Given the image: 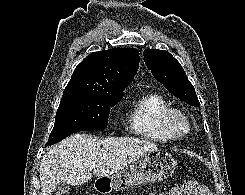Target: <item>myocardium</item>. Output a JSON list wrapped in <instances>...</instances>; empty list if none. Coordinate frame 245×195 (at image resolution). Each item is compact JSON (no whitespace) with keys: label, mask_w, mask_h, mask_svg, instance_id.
I'll return each instance as SVG.
<instances>
[{"label":"myocardium","mask_w":245,"mask_h":195,"mask_svg":"<svg viewBox=\"0 0 245 195\" xmlns=\"http://www.w3.org/2000/svg\"><path fill=\"white\" fill-rule=\"evenodd\" d=\"M176 117L182 118L185 121L187 125L185 132L179 133L175 130L173 126V120ZM160 126L163 132L172 140H179L186 137L188 134H190L192 127L191 120L188 115L177 108H169L162 113L160 117Z\"/></svg>","instance_id":"obj_1"}]
</instances>
